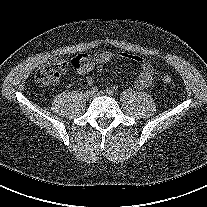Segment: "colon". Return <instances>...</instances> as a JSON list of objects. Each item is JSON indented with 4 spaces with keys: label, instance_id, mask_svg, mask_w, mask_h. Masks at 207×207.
Listing matches in <instances>:
<instances>
[{
    "label": "colon",
    "instance_id": "5ec220e1",
    "mask_svg": "<svg viewBox=\"0 0 207 207\" xmlns=\"http://www.w3.org/2000/svg\"><path fill=\"white\" fill-rule=\"evenodd\" d=\"M68 62L61 57H53L42 68L35 73V80L39 85L54 84L60 75L67 69ZM161 80L165 84L172 82L173 77L169 73L161 76Z\"/></svg>",
    "mask_w": 207,
    "mask_h": 207
}]
</instances>
